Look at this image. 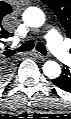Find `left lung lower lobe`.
I'll return each mask as SVG.
<instances>
[{
	"label": "left lung lower lobe",
	"mask_w": 71,
	"mask_h": 119,
	"mask_svg": "<svg viewBox=\"0 0 71 119\" xmlns=\"http://www.w3.org/2000/svg\"><path fill=\"white\" fill-rule=\"evenodd\" d=\"M69 80H70V75H69V73L67 72V70L66 69H63V72H62V75L58 78V79H56V80H53V82L56 84V85H58V86H60V87H62V88H68L69 87Z\"/></svg>",
	"instance_id": "0a47b994"
}]
</instances>
